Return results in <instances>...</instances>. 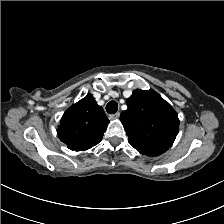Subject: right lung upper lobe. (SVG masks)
Instances as JSON below:
<instances>
[{"mask_svg":"<svg viewBox=\"0 0 224 224\" xmlns=\"http://www.w3.org/2000/svg\"><path fill=\"white\" fill-rule=\"evenodd\" d=\"M109 119L91 94L69 107L60 120L57 133L72 150H87L98 144Z\"/></svg>","mask_w":224,"mask_h":224,"instance_id":"cb5924a9","label":"right lung upper lobe"}]
</instances>
